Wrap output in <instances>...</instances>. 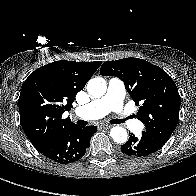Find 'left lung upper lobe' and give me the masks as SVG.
<instances>
[{
	"label": "left lung upper lobe",
	"instance_id": "1",
	"mask_svg": "<svg viewBox=\"0 0 196 196\" xmlns=\"http://www.w3.org/2000/svg\"><path fill=\"white\" fill-rule=\"evenodd\" d=\"M101 75L119 77L136 105L143 133L165 144L179 117L180 96L172 78L160 67L139 58L106 61Z\"/></svg>",
	"mask_w": 196,
	"mask_h": 196
}]
</instances>
